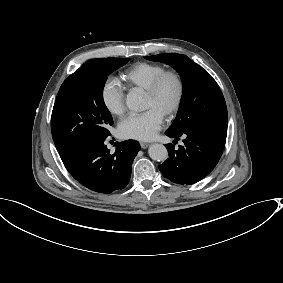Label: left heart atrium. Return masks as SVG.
<instances>
[{"mask_svg":"<svg viewBox=\"0 0 283 283\" xmlns=\"http://www.w3.org/2000/svg\"><path fill=\"white\" fill-rule=\"evenodd\" d=\"M163 120L164 114L148 108L141 113L129 115L119 124L117 133L121 138L150 140L156 136Z\"/></svg>","mask_w":283,"mask_h":283,"instance_id":"obj_1","label":"left heart atrium"}]
</instances>
